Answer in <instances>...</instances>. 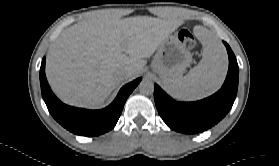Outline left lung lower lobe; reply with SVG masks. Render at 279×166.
<instances>
[{
    "instance_id": "obj_1",
    "label": "left lung lower lobe",
    "mask_w": 279,
    "mask_h": 166,
    "mask_svg": "<svg viewBox=\"0 0 279 166\" xmlns=\"http://www.w3.org/2000/svg\"><path fill=\"white\" fill-rule=\"evenodd\" d=\"M229 70L222 88L214 95L196 102H176L155 84L154 100L163 121L182 133L203 132L217 124L231 109L238 89L239 68L230 46Z\"/></svg>"
}]
</instances>
